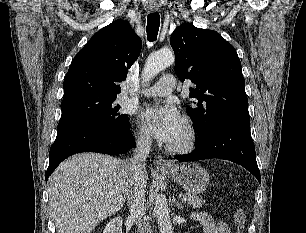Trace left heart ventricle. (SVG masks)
<instances>
[{"instance_id": "b2bd125f", "label": "left heart ventricle", "mask_w": 306, "mask_h": 233, "mask_svg": "<svg viewBox=\"0 0 306 233\" xmlns=\"http://www.w3.org/2000/svg\"><path fill=\"white\" fill-rule=\"evenodd\" d=\"M186 138H187V130L185 124H183L182 128L180 129L176 137L171 142H169V144L171 145L181 144L182 142L185 141Z\"/></svg>"}]
</instances>
